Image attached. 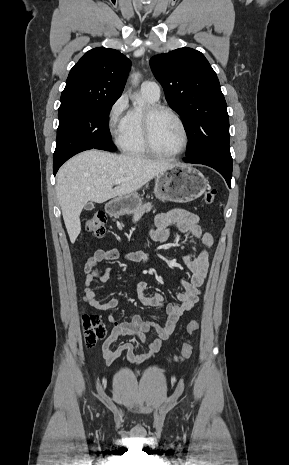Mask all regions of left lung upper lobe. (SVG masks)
Returning <instances> with one entry per match:
<instances>
[{
  "label": "left lung upper lobe",
  "mask_w": 289,
  "mask_h": 465,
  "mask_svg": "<svg viewBox=\"0 0 289 465\" xmlns=\"http://www.w3.org/2000/svg\"><path fill=\"white\" fill-rule=\"evenodd\" d=\"M169 105L181 116L188 136L186 157L217 156L232 160L229 116L215 71L204 55L179 48L150 59Z\"/></svg>",
  "instance_id": "1"
}]
</instances>
